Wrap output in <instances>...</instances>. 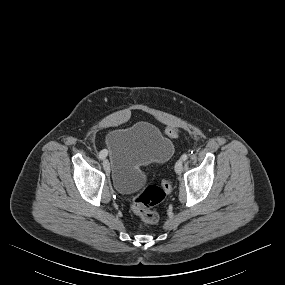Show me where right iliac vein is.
Returning a JSON list of instances; mask_svg holds the SVG:
<instances>
[{"instance_id": "right-iliac-vein-1", "label": "right iliac vein", "mask_w": 285, "mask_h": 285, "mask_svg": "<svg viewBox=\"0 0 285 285\" xmlns=\"http://www.w3.org/2000/svg\"><path fill=\"white\" fill-rule=\"evenodd\" d=\"M103 168L106 172L109 170V162L107 159L103 160Z\"/></svg>"}]
</instances>
